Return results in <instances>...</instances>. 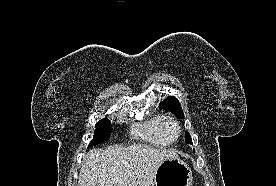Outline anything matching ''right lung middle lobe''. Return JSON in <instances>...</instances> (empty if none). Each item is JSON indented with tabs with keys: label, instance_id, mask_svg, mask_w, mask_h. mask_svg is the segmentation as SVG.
Listing matches in <instances>:
<instances>
[{
	"label": "right lung middle lobe",
	"instance_id": "obj_1",
	"mask_svg": "<svg viewBox=\"0 0 276 186\" xmlns=\"http://www.w3.org/2000/svg\"><path fill=\"white\" fill-rule=\"evenodd\" d=\"M111 134V124L109 120L102 119L96 124V129L92 141L89 143L90 146H94L103 143L109 139Z\"/></svg>",
	"mask_w": 276,
	"mask_h": 186
}]
</instances>
